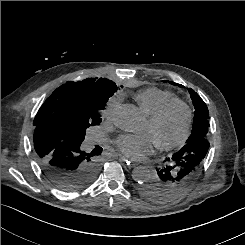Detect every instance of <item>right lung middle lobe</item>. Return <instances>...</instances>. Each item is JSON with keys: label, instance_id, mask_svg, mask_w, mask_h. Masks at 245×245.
<instances>
[{"label": "right lung middle lobe", "instance_id": "obj_1", "mask_svg": "<svg viewBox=\"0 0 245 245\" xmlns=\"http://www.w3.org/2000/svg\"><path fill=\"white\" fill-rule=\"evenodd\" d=\"M117 89L118 88H113L102 95L93 108L50 116V126L62 139L82 143L86 129L92 125H99L101 123V111L106 106L109 97L112 96Z\"/></svg>", "mask_w": 245, "mask_h": 245}]
</instances>
